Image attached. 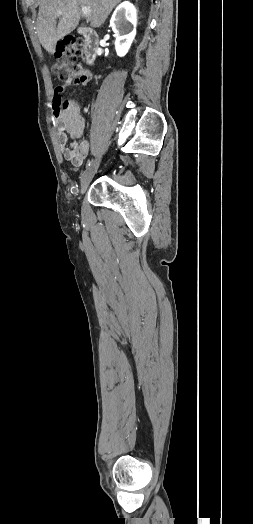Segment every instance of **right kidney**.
<instances>
[{"instance_id": "1", "label": "right kidney", "mask_w": 253, "mask_h": 524, "mask_svg": "<svg viewBox=\"0 0 253 524\" xmlns=\"http://www.w3.org/2000/svg\"><path fill=\"white\" fill-rule=\"evenodd\" d=\"M129 23L134 26L130 32ZM137 13L130 2H123L114 11L110 26L116 34L115 49L119 57H123L128 52L136 35Z\"/></svg>"}]
</instances>
